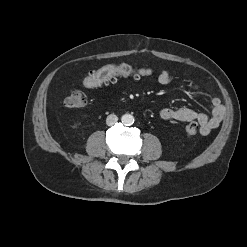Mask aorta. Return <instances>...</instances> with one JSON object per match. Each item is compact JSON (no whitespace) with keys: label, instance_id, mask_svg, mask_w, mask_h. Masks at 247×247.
I'll use <instances>...</instances> for the list:
<instances>
[{"label":"aorta","instance_id":"aorta-1","mask_svg":"<svg viewBox=\"0 0 247 247\" xmlns=\"http://www.w3.org/2000/svg\"><path fill=\"white\" fill-rule=\"evenodd\" d=\"M121 121L124 125H132L134 123V117L131 114H124L121 117Z\"/></svg>","mask_w":247,"mask_h":247}]
</instances>
